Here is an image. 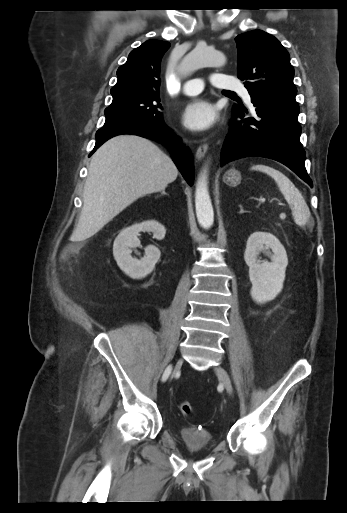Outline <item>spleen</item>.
Returning <instances> with one entry per match:
<instances>
[{
    "mask_svg": "<svg viewBox=\"0 0 347 513\" xmlns=\"http://www.w3.org/2000/svg\"><path fill=\"white\" fill-rule=\"evenodd\" d=\"M251 170L263 172L275 180L279 190L290 205L296 224L302 226L308 222L311 214L307 203L298 188L285 174L265 164H256L251 167Z\"/></svg>",
    "mask_w": 347,
    "mask_h": 513,
    "instance_id": "1",
    "label": "spleen"
}]
</instances>
